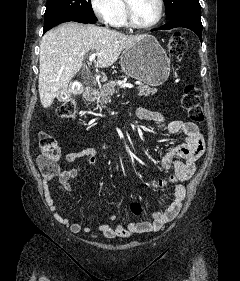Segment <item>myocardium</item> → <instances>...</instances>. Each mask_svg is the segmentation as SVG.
Listing matches in <instances>:
<instances>
[{"label":"myocardium","mask_w":240,"mask_h":281,"mask_svg":"<svg viewBox=\"0 0 240 281\" xmlns=\"http://www.w3.org/2000/svg\"><path fill=\"white\" fill-rule=\"evenodd\" d=\"M126 8L127 23L135 29H149L156 26L162 19L164 13V0H157L158 12L155 19L149 23L141 24L135 20L132 0H124Z\"/></svg>","instance_id":"obj_1"}]
</instances>
